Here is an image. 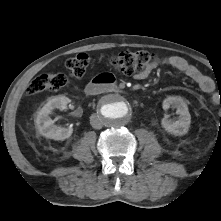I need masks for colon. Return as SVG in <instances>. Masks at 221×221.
<instances>
[{
    "label": "colon",
    "mask_w": 221,
    "mask_h": 221,
    "mask_svg": "<svg viewBox=\"0 0 221 221\" xmlns=\"http://www.w3.org/2000/svg\"><path fill=\"white\" fill-rule=\"evenodd\" d=\"M156 56L148 51H123L107 59V62L116 71L126 75L140 73L149 64L155 62ZM66 68L69 73L76 77H83L89 67V56L86 53H79L66 61ZM69 84V79L62 72L42 74L35 77L26 89L28 95H35L43 91H57ZM221 123V116H220Z\"/></svg>",
    "instance_id": "1"
}]
</instances>
